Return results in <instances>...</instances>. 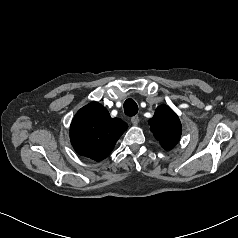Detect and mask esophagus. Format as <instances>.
I'll list each match as a JSON object with an SVG mask.
<instances>
[{
	"label": "esophagus",
	"mask_w": 238,
	"mask_h": 238,
	"mask_svg": "<svg viewBox=\"0 0 238 238\" xmlns=\"http://www.w3.org/2000/svg\"><path fill=\"white\" fill-rule=\"evenodd\" d=\"M139 121H140V119H139L138 116H133V117L131 118V123H132L133 125H135V126L138 125Z\"/></svg>",
	"instance_id": "esophagus-1"
}]
</instances>
